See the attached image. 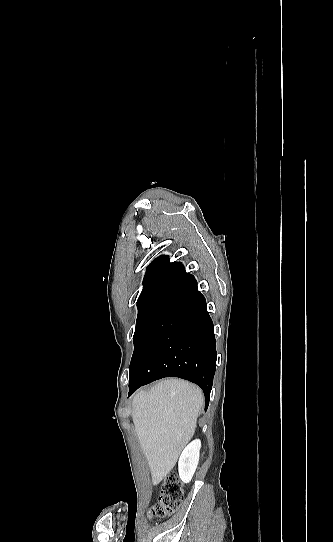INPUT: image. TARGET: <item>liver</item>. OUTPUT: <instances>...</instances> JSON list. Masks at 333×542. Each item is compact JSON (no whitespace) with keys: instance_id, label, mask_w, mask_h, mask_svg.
<instances>
[{"instance_id":"obj_1","label":"liver","mask_w":333,"mask_h":542,"mask_svg":"<svg viewBox=\"0 0 333 542\" xmlns=\"http://www.w3.org/2000/svg\"><path fill=\"white\" fill-rule=\"evenodd\" d=\"M202 390L184 380H161L149 392L132 400V418L140 446L150 468L153 486L174 468L182 450L194 436Z\"/></svg>"}]
</instances>
